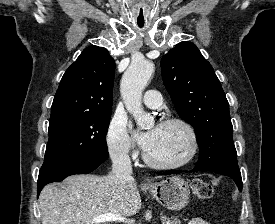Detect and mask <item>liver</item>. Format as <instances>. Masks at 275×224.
<instances>
[{
    "label": "liver",
    "mask_w": 275,
    "mask_h": 224,
    "mask_svg": "<svg viewBox=\"0 0 275 224\" xmlns=\"http://www.w3.org/2000/svg\"><path fill=\"white\" fill-rule=\"evenodd\" d=\"M42 224H94L105 214L135 215L141 208L136 183L120 184L107 176L72 175L63 184L46 185L39 196Z\"/></svg>",
    "instance_id": "liver-1"
}]
</instances>
